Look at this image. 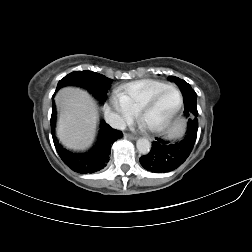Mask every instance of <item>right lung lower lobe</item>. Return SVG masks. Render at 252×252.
I'll return each instance as SVG.
<instances>
[{
    "label": "right lung lower lobe",
    "instance_id": "obj_1",
    "mask_svg": "<svg viewBox=\"0 0 252 252\" xmlns=\"http://www.w3.org/2000/svg\"><path fill=\"white\" fill-rule=\"evenodd\" d=\"M56 121L55 105L52 104L51 132L55 148L62 161L77 173H94L103 169L108 161L112 144L120 139L123 134L107 123L101 122V128L96 144L86 153H73L63 148L54 133Z\"/></svg>",
    "mask_w": 252,
    "mask_h": 252
}]
</instances>
